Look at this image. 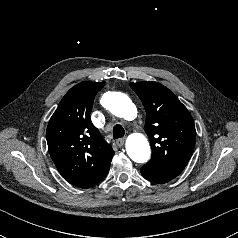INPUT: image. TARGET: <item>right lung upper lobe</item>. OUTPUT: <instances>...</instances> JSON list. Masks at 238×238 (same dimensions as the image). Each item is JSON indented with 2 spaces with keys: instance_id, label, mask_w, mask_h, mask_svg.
<instances>
[{
  "instance_id": "right-lung-upper-lobe-1",
  "label": "right lung upper lobe",
  "mask_w": 238,
  "mask_h": 238,
  "mask_svg": "<svg viewBox=\"0 0 238 238\" xmlns=\"http://www.w3.org/2000/svg\"><path fill=\"white\" fill-rule=\"evenodd\" d=\"M104 82H82L62 98L46 131L50 156L61 176L83 187L110 168L114 151L92 124L90 113Z\"/></svg>"
}]
</instances>
